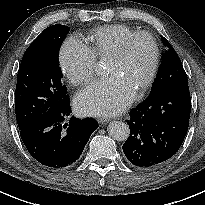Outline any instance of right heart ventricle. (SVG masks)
I'll return each instance as SVG.
<instances>
[{
  "label": "right heart ventricle",
  "mask_w": 205,
  "mask_h": 205,
  "mask_svg": "<svg viewBox=\"0 0 205 205\" xmlns=\"http://www.w3.org/2000/svg\"><path fill=\"white\" fill-rule=\"evenodd\" d=\"M134 32V29L122 24L104 26L90 33L88 47L96 59L109 60L123 40Z\"/></svg>",
  "instance_id": "right-heart-ventricle-1"
}]
</instances>
